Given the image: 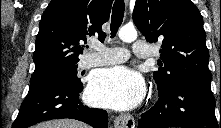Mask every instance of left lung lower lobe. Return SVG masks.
Returning a JSON list of instances; mask_svg holds the SVG:
<instances>
[{
    "mask_svg": "<svg viewBox=\"0 0 221 128\" xmlns=\"http://www.w3.org/2000/svg\"><path fill=\"white\" fill-rule=\"evenodd\" d=\"M169 127L219 128L210 83L186 82L159 93V101L138 122V128Z\"/></svg>",
    "mask_w": 221,
    "mask_h": 128,
    "instance_id": "1",
    "label": "left lung lower lobe"
}]
</instances>
